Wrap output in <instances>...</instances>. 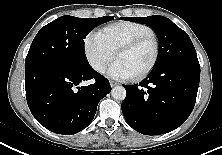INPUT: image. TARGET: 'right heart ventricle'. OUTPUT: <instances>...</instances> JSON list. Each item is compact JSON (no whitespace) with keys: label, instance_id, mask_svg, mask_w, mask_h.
Listing matches in <instances>:
<instances>
[{"label":"right heart ventricle","instance_id":"right-heart-ventricle-1","mask_svg":"<svg viewBox=\"0 0 222 155\" xmlns=\"http://www.w3.org/2000/svg\"><path fill=\"white\" fill-rule=\"evenodd\" d=\"M100 33L109 46L116 52L123 44L141 35L154 33V30L143 23L123 21L105 26Z\"/></svg>","mask_w":222,"mask_h":155}]
</instances>
